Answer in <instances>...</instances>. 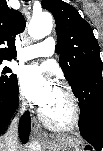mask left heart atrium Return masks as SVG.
Returning <instances> with one entry per match:
<instances>
[{
	"instance_id": "obj_1",
	"label": "left heart atrium",
	"mask_w": 103,
	"mask_h": 151,
	"mask_svg": "<svg viewBox=\"0 0 103 151\" xmlns=\"http://www.w3.org/2000/svg\"><path fill=\"white\" fill-rule=\"evenodd\" d=\"M20 81L25 96L42 110L50 104L57 89L47 75V68L39 65L26 67L20 75Z\"/></svg>"
}]
</instances>
